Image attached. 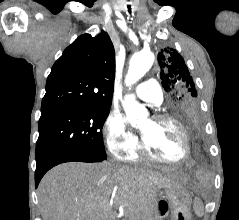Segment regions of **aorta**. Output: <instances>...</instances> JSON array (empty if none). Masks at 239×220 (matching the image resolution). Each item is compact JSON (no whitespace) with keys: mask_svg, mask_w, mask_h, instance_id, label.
Listing matches in <instances>:
<instances>
[{"mask_svg":"<svg viewBox=\"0 0 239 220\" xmlns=\"http://www.w3.org/2000/svg\"><path fill=\"white\" fill-rule=\"evenodd\" d=\"M154 62V55L151 51H141L132 56L129 62L128 74L125 82L127 86L136 83L151 68ZM123 107L127 119L131 125H136L138 120L145 118L148 112L144 106L136 101L133 94L125 96Z\"/></svg>","mask_w":239,"mask_h":220,"instance_id":"aorta-1","label":"aorta"}]
</instances>
